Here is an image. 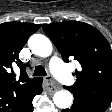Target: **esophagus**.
I'll return each instance as SVG.
<instances>
[{
	"instance_id": "34e87169",
	"label": "esophagus",
	"mask_w": 112,
	"mask_h": 112,
	"mask_svg": "<svg viewBox=\"0 0 112 112\" xmlns=\"http://www.w3.org/2000/svg\"><path fill=\"white\" fill-rule=\"evenodd\" d=\"M45 85H44V89L49 92V93H54L58 90V86L55 83V81L50 77H46L44 79Z\"/></svg>"
}]
</instances>
